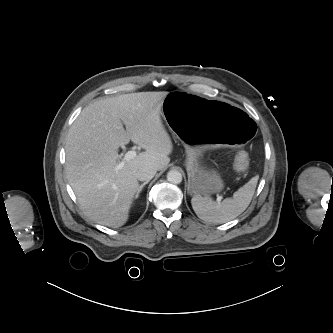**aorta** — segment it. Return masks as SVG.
<instances>
[{
	"mask_svg": "<svg viewBox=\"0 0 333 333\" xmlns=\"http://www.w3.org/2000/svg\"><path fill=\"white\" fill-rule=\"evenodd\" d=\"M167 180L173 184H179L182 182V174L177 170H170L167 173Z\"/></svg>",
	"mask_w": 333,
	"mask_h": 333,
	"instance_id": "762f6f07",
	"label": "aorta"
}]
</instances>
